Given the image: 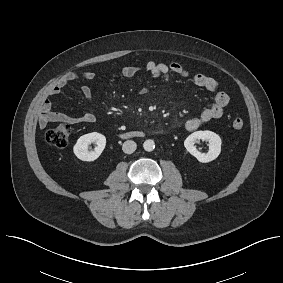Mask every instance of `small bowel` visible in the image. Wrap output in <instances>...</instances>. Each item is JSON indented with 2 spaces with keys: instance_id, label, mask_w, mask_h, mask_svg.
<instances>
[{
  "instance_id": "1",
  "label": "small bowel",
  "mask_w": 283,
  "mask_h": 283,
  "mask_svg": "<svg viewBox=\"0 0 283 283\" xmlns=\"http://www.w3.org/2000/svg\"><path fill=\"white\" fill-rule=\"evenodd\" d=\"M146 70L153 77H161L165 80H168L172 74L178 75L181 77H189V72L178 62H172L169 64L166 63H157L150 61L146 64ZM139 68L132 65L124 66L121 70V74L130 78L133 77ZM95 78V73L92 71H86L82 73L70 72L67 73L57 85H55L51 91L50 96H57L60 94L62 89L66 87L73 81L76 80H84L90 81ZM192 81L194 85L197 87L203 88L210 92H216L214 96L213 103L205 108L199 115L189 118L185 122V128L188 131H195L203 124L213 120L219 119L223 116L225 107L229 104L230 97L224 91H218L219 84L218 82L207 75L204 74H196L192 77ZM81 92L83 94L85 103H86V111L80 116H73L64 113L55 112L52 110V103L50 100L46 99L43 101L41 105V111L39 115V123L41 127L47 126L49 123L53 122H61V123H70V124H78V123H92L96 121L97 114L92 106V90L88 85L81 86ZM148 92L147 88L142 90V94Z\"/></svg>"
}]
</instances>
